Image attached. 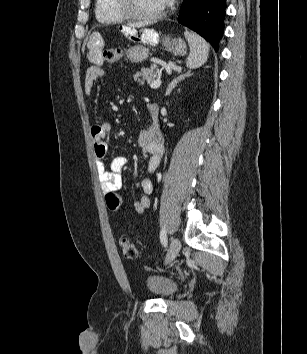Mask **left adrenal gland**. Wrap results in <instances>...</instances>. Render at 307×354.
Instances as JSON below:
<instances>
[{
	"mask_svg": "<svg viewBox=\"0 0 307 354\" xmlns=\"http://www.w3.org/2000/svg\"><path fill=\"white\" fill-rule=\"evenodd\" d=\"M193 74L191 73V71H188L185 74H182L180 76H178L177 78L173 79V81L168 85L167 89H166V93L165 96L170 95V93L172 92V90L177 86V84L179 82H181L182 80H184L186 77H190Z\"/></svg>",
	"mask_w": 307,
	"mask_h": 354,
	"instance_id": "left-adrenal-gland-1",
	"label": "left adrenal gland"
}]
</instances>
